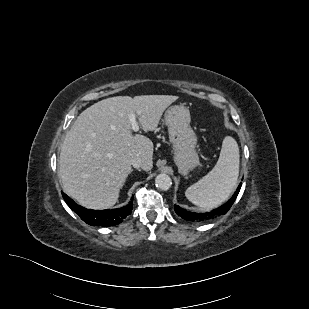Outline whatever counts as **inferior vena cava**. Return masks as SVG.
I'll return each mask as SVG.
<instances>
[{"label":"inferior vena cava","instance_id":"1","mask_svg":"<svg viewBox=\"0 0 309 309\" xmlns=\"http://www.w3.org/2000/svg\"><path fill=\"white\" fill-rule=\"evenodd\" d=\"M130 163L131 165L134 167V168H142L143 166V163H142V159L140 156H134L131 158L130 160Z\"/></svg>","mask_w":309,"mask_h":309}]
</instances>
